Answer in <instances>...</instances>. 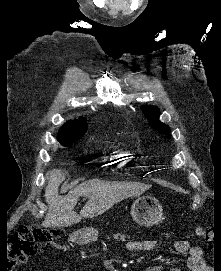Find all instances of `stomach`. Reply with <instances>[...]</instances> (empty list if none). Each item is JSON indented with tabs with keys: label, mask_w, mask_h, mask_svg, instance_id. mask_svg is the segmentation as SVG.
Masks as SVG:
<instances>
[{
	"label": "stomach",
	"mask_w": 221,
	"mask_h": 271,
	"mask_svg": "<svg viewBox=\"0 0 221 271\" xmlns=\"http://www.w3.org/2000/svg\"><path fill=\"white\" fill-rule=\"evenodd\" d=\"M161 202L156 201L154 197H137L131 205V215L139 225H156L161 219ZM73 238H89L96 241L98 229L89 227V230H78L72 234Z\"/></svg>",
	"instance_id": "obj_1"
}]
</instances>
